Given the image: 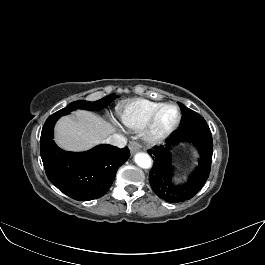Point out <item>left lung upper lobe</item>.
Wrapping results in <instances>:
<instances>
[{
	"label": "left lung upper lobe",
	"mask_w": 265,
	"mask_h": 265,
	"mask_svg": "<svg viewBox=\"0 0 265 265\" xmlns=\"http://www.w3.org/2000/svg\"><path fill=\"white\" fill-rule=\"evenodd\" d=\"M178 105L180 106V109L182 112V119H181V123H180V126L178 129L187 128L190 125H192V124H194L200 120H204V118L201 115H199L195 111L187 108L183 104L178 103Z\"/></svg>",
	"instance_id": "1"
}]
</instances>
